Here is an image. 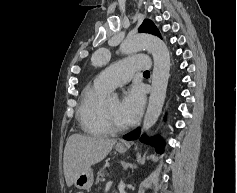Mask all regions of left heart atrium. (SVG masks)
Instances as JSON below:
<instances>
[{"label": "left heart atrium", "instance_id": "left-heart-atrium-1", "mask_svg": "<svg viewBox=\"0 0 237 193\" xmlns=\"http://www.w3.org/2000/svg\"><path fill=\"white\" fill-rule=\"evenodd\" d=\"M145 103L143 89L140 85H132L120 103V114L126 124L134 123L142 113Z\"/></svg>", "mask_w": 237, "mask_h": 193}]
</instances>
